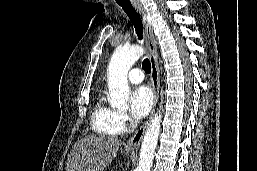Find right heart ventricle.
Listing matches in <instances>:
<instances>
[{
    "instance_id": "right-heart-ventricle-1",
    "label": "right heart ventricle",
    "mask_w": 257,
    "mask_h": 171,
    "mask_svg": "<svg viewBox=\"0 0 257 171\" xmlns=\"http://www.w3.org/2000/svg\"><path fill=\"white\" fill-rule=\"evenodd\" d=\"M91 127L101 135L117 136L121 134L123 127L118 118V112L100 95L94 105L91 114Z\"/></svg>"
}]
</instances>
